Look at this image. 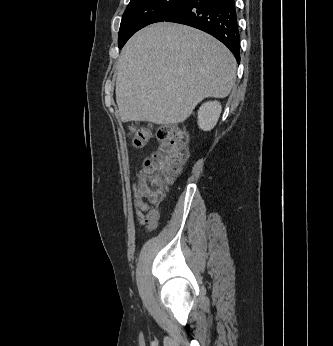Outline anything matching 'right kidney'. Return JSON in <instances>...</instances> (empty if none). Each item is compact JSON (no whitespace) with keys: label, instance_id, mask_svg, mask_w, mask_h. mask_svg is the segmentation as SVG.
I'll return each mask as SVG.
<instances>
[{"label":"right kidney","instance_id":"right-kidney-1","mask_svg":"<svg viewBox=\"0 0 333 346\" xmlns=\"http://www.w3.org/2000/svg\"><path fill=\"white\" fill-rule=\"evenodd\" d=\"M221 104L217 101L204 103L198 111V125L204 131H210L216 125L221 114Z\"/></svg>","mask_w":333,"mask_h":346}]
</instances>
